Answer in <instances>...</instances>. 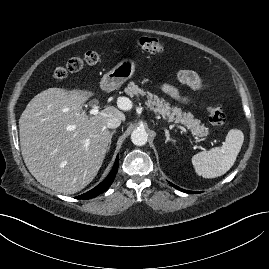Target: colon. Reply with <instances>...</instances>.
Returning a JSON list of instances; mask_svg holds the SVG:
<instances>
[{"label": "colon", "instance_id": "1", "mask_svg": "<svg viewBox=\"0 0 269 269\" xmlns=\"http://www.w3.org/2000/svg\"><path fill=\"white\" fill-rule=\"evenodd\" d=\"M138 48L142 51L158 54L164 51V42L159 38L142 37L138 42ZM105 59V56L96 51H87L79 56L68 59L64 64L57 65L53 70V78L62 80L71 73H76L85 66L96 65ZM209 122L215 127H221L226 122V115L222 108L217 105L207 107Z\"/></svg>", "mask_w": 269, "mask_h": 269}]
</instances>
